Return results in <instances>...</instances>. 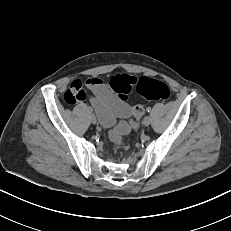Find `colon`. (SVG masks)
<instances>
[{
  "mask_svg": "<svg viewBox=\"0 0 231 231\" xmlns=\"http://www.w3.org/2000/svg\"><path fill=\"white\" fill-rule=\"evenodd\" d=\"M109 85L122 99H126L133 89L146 100L166 101L170 97V89L166 83L147 77L138 78L128 74H118L110 79ZM140 116L141 111L138 109L134 117L138 119ZM134 127L135 124L116 126L110 132L111 140L121 144L123 136Z\"/></svg>",
  "mask_w": 231,
  "mask_h": 231,
  "instance_id": "1",
  "label": "colon"
}]
</instances>
